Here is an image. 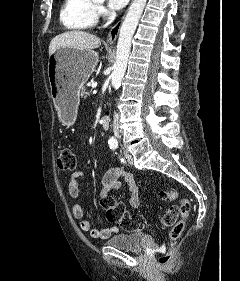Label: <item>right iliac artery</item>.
<instances>
[{"label": "right iliac artery", "instance_id": "obj_1", "mask_svg": "<svg viewBox=\"0 0 240 281\" xmlns=\"http://www.w3.org/2000/svg\"><path fill=\"white\" fill-rule=\"evenodd\" d=\"M109 145H110V148L113 150H115L118 146V144L116 142H111V143H109Z\"/></svg>", "mask_w": 240, "mask_h": 281}]
</instances>
